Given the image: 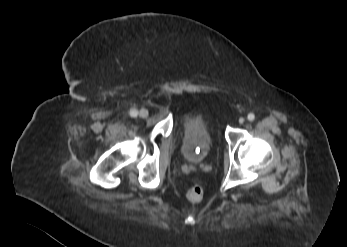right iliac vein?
I'll list each match as a JSON object with an SVG mask.
<instances>
[{
  "instance_id": "1",
  "label": "right iliac vein",
  "mask_w": 347,
  "mask_h": 247,
  "mask_svg": "<svg viewBox=\"0 0 347 247\" xmlns=\"http://www.w3.org/2000/svg\"><path fill=\"white\" fill-rule=\"evenodd\" d=\"M148 110L147 109H141L140 111H139V113H138V115H139V117L140 118H147V116H148Z\"/></svg>"
}]
</instances>
